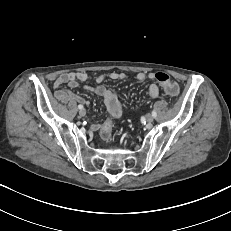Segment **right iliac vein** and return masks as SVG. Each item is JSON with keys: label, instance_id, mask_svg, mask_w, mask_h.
Here are the masks:
<instances>
[{"label": "right iliac vein", "instance_id": "63e3f726", "mask_svg": "<svg viewBox=\"0 0 231 231\" xmlns=\"http://www.w3.org/2000/svg\"><path fill=\"white\" fill-rule=\"evenodd\" d=\"M79 115L82 116V117L85 116L86 115L85 109H80Z\"/></svg>", "mask_w": 231, "mask_h": 231}]
</instances>
